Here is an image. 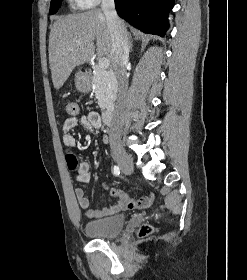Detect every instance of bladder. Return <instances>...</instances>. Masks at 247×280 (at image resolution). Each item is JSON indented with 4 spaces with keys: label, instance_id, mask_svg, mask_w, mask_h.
Listing matches in <instances>:
<instances>
[{
    "label": "bladder",
    "instance_id": "31cf9c89",
    "mask_svg": "<svg viewBox=\"0 0 247 280\" xmlns=\"http://www.w3.org/2000/svg\"><path fill=\"white\" fill-rule=\"evenodd\" d=\"M125 224L124 215H115L87 222L84 231L91 238H113L123 231Z\"/></svg>",
    "mask_w": 247,
    "mask_h": 280
}]
</instances>
